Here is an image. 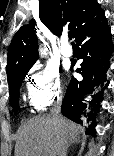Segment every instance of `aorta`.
Returning <instances> with one entry per match:
<instances>
[{
    "instance_id": "1",
    "label": "aorta",
    "mask_w": 114,
    "mask_h": 156,
    "mask_svg": "<svg viewBox=\"0 0 114 156\" xmlns=\"http://www.w3.org/2000/svg\"><path fill=\"white\" fill-rule=\"evenodd\" d=\"M40 53H41V55H42V54H45V51L40 50Z\"/></svg>"
}]
</instances>
